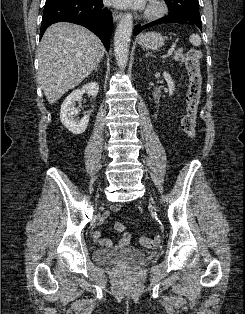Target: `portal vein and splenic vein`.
<instances>
[{
	"label": "portal vein and splenic vein",
	"instance_id": "portal-vein-and-splenic-vein-1",
	"mask_svg": "<svg viewBox=\"0 0 245 314\" xmlns=\"http://www.w3.org/2000/svg\"><path fill=\"white\" fill-rule=\"evenodd\" d=\"M176 44H173L171 46V48L168 50L166 56L169 57L170 55H172L173 51L175 50Z\"/></svg>",
	"mask_w": 245,
	"mask_h": 314
}]
</instances>
